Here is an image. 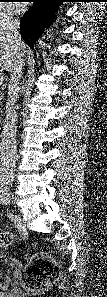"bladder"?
I'll return each instance as SVG.
<instances>
[{
    "label": "bladder",
    "mask_w": 107,
    "mask_h": 297,
    "mask_svg": "<svg viewBox=\"0 0 107 297\" xmlns=\"http://www.w3.org/2000/svg\"><path fill=\"white\" fill-rule=\"evenodd\" d=\"M0 278H2V272H0Z\"/></svg>",
    "instance_id": "31cf9c89"
}]
</instances>
